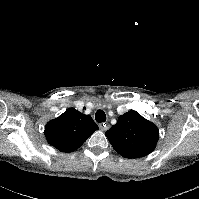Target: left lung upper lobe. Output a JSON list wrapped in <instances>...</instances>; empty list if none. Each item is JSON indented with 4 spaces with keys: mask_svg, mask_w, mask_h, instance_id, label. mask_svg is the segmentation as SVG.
Wrapping results in <instances>:
<instances>
[{
    "mask_svg": "<svg viewBox=\"0 0 199 199\" xmlns=\"http://www.w3.org/2000/svg\"><path fill=\"white\" fill-rule=\"evenodd\" d=\"M115 151L126 158H139L150 154L156 147L159 130L138 112L130 110L105 133Z\"/></svg>",
    "mask_w": 199,
    "mask_h": 199,
    "instance_id": "obj_1",
    "label": "left lung upper lobe"
}]
</instances>
